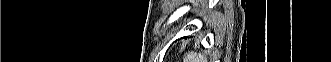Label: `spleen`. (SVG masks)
I'll use <instances>...</instances> for the list:
<instances>
[{"label": "spleen", "instance_id": "obj_1", "mask_svg": "<svg viewBox=\"0 0 331 62\" xmlns=\"http://www.w3.org/2000/svg\"><path fill=\"white\" fill-rule=\"evenodd\" d=\"M194 57H195V59H194ZM188 60H198V57L196 55L195 56L192 55L191 53H187L184 56V62H188Z\"/></svg>", "mask_w": 331, "mask_h": 62}]
</instances>
